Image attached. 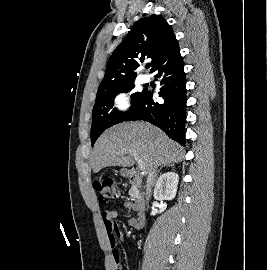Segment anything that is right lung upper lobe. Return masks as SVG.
I'll return each mask as SVG.
<instances>
[{
  "label": "right lung upper lobe",
  "instance_id": "right-lung-upper-lobe-1",
  "mask_svg": "<svg viewBox=\"0 0 267 270\" xmlns=\"http://www.w3.org/2000/svg\"><path fill=\"white\" fill-rule=\"evenodd\" d=\"M177 43L164 17L152 15L140 19L110 57L98 91L134 81L137 75L134 70L145 59H151V72H154L159 61Z\"/></svg>",
  "mask_w": 267,
  "mask_h": 270
}]
</instances>
